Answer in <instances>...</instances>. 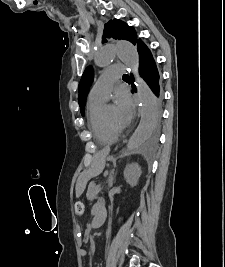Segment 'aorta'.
I'll list each match as a JSON object with an SVG mask.
<instances>
[{"mask_svg": "<svg viewBox=\"0 0 225 267\" xmlns=\"http://www.w3.org/2000/svg\"><path fill=\"white\" fill-rule=\"evenodd\" d=\"M115 56L134 74L141 102L140 123L127 144V150L132 151L141 146L151 134L156 123L157 103L152 91L139 75V55L136 47L127 41L104 45L96 53L95 64L99 67H106Z\"/></svg>", "mask_w": 225, "mask_h": 267, "instance_id": "1", "label": "aorta"}]
</instances>
